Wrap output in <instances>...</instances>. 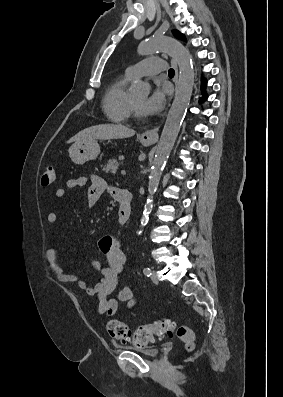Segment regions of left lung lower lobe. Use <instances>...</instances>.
I'll return each mask as SVG.
<instances>
[{"mask_svg": "<svg viewBox=\"0 0 283 397\" xmlns=\"http://www.w3.org/2000/svg\"><path fill=\"white\" fill-rule=\"evenodd\" d=\"M205 85H206V80L203 79V80H202V86H205ZM206 98H207V95H206L205 92H203V97L201 98V101L205 100Z\"/></svg>", "mask_w": 283, "mask_h": 397, "instance_id": "obj_1", "label": "left lung lower lobe"}]
</instances>
